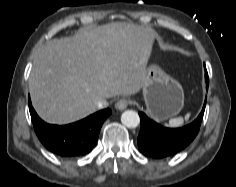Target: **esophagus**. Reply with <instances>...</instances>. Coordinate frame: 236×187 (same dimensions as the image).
Returning <instances> with one entry per match:
<instances>
[{"label":"esophagus","instance_id":"1","mask_svg":"<svg viewBox=\"0 0 236 187\" xmlns=\"http://www.w3.org/2000/svg\"><path fill=\"white\" fill-rule=\"evenodd\" d=\"M129 104H130L129 100L122 98L116 102L115 107L118 110H124L128 107Z\"/></svg>","mask_w":236,"mask_h":187}]
</instances>
